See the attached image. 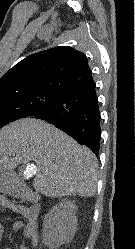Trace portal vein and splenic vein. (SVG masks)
<instances>
[{
  "instance_id": "18ae733b",
  "label": "portal vein and splenic vein",
  "mask_w": 135,
  "mask_h": 249,
  "mask_svg": "<svg viewBox=\"0 0 135 249\" xmlns=\"http://www.w3.org/2000/svg\"><path fill=\"white\" fill-rule=\"evenodd\" d=\"M27 171H28V174H29L30 176H32L33 174L36 173L37 168H36V166H35L34 164H29V165H28V168H27Z\"/></svg>"
}]
</instances>
